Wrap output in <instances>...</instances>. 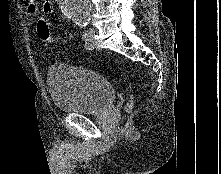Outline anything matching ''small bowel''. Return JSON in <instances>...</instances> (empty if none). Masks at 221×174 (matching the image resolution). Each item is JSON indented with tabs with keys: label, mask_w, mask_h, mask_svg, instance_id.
Wrapping results in <instances>:
<instances>
[{
	"label": "small bowel",
	"mask_w": 221,
	"mask_h": 174,
	"mask_svg": "<svg viewBox=\"0 0 221 174\" xmlns=\"http://www.w3.org/2000/svg\"><path fill=\"white\" fill-rule=\"evenodd\" d=\"M25 8L29 15H36L38 13V5L36 0H24ZM42 11L46 15H50L54 11V6L51 0H43L42 1Z\"/></svg>",
	"instance_id": "obj_1"
}]
</instances>
